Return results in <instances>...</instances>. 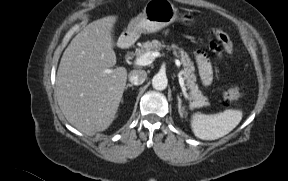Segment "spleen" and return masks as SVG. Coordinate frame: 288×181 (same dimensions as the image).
<instances>
[{
    "instance_id": "1",
    "label": "spleen",
    "mask_w": 288,
    "mask_h": 181,
    "mask_svg": "<svg viewBox=\"0 0 288 181\" xmlns=\"http://www.w3.org/2000/svg\"><path fill=\"white\" fill-rule=\"evenodd\" d=\"M242 120V111L228 109L218 114L196 112L191 117L194 135L202 140H216L231 132Z\"/></svg>"
}]
</instances>
